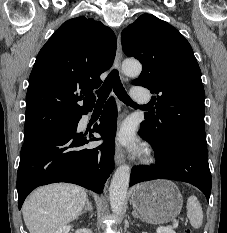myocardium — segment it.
I'll use <instances>...</instances> for the list:
<instances>
[{
  "mask_svg": "<svg viewBox=\"0 0 227 233\" xmlns=\"http://www.w3.org/2000/svg\"><path fill=\"white\" fill-rule=\"evenodd\" d=\"M145 161H146V162H151V161H152V157H151V156L146 157V158H145Z\"/></svg>",
  "mask_w": 227,
  "mask_h": 233,
  "instance_id": "myocardium-1",
  "label": "myocardium"
}]
</instances>
